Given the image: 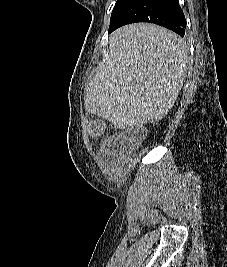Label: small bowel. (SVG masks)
<instances>
[{
    "label": "small bowel",
    "mask_w": 227,
    "mask_h": 267,
    "mask_svg": "<svg viewBox=\"0 0 227 267\" xmlns=\"http://www.w3.org/2000/svg\"><path fill=\"white\" fill-rule=\"evenodd\" d=\"M103 154L105 156H111L114 154V141L107 140L103 145Z\"/></svg>",
    "instance_id": "c3829d8e"
}]
</instances>
